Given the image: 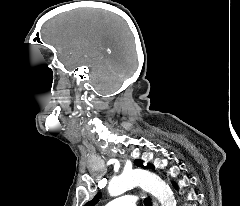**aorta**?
Listing matches in <instances>:
<instances>
[{
	"label": "aorta",
	"instance_id": "1",
	"mask_svg": "<svg viewBox=\"0 0 240 206\" xmlns=\"http://www.w3.org/2000/svg\"><path fill=\"white\" fill-rule=\"evenodd\" d=\"M140 186L158 199L161 206H176L175 197L169 186L156 174L146 170L124 172L112 179L108 185L111 196H118L128 189Z\"/></svg>",
	"mask_w": 240,
	"mask_h": 206
}]
</instances>
